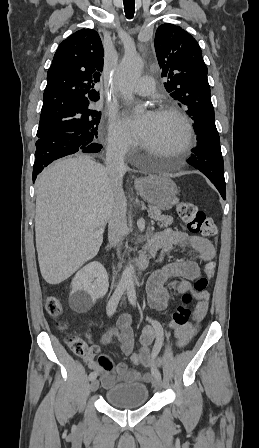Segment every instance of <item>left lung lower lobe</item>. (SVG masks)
I'll list each match as a JSON object with an SVG mask.
<instances>
[{
	"instance_id": "0a47b994",
	"label": "left lung lower lobe",
	"mask_w": 259,
	"mask_h": 448,
	"mask_svg": "<svg viewBox=\"0 0 259 448\" xmlns=\"http://www.w3.org/2000/svg\"><path fill=\"white\" fill-rule=\"evenodd\" d=\"M197 146L187 162L206 175L226 199L224 164L218 131L201 132L197 135Z\"/></svg>"
}]
</instances>
